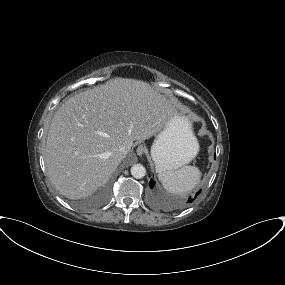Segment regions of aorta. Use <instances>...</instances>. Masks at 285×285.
Here are the masks:
<instances>
[{
    "label": "aorta",
    "instance_id": "aorta-1",
    "mask_svg": "<svg viewBox=\"0 0 285 285\" xmlns=\"http://www.w3.org/2000/svg\"><path fill=\"white\" fill-rule=\"evenodd\" d=\"M131 175L136 179H141L146 175V169L141 164H134L131 167Z\"/></svg>",
    "mask_w": 285,
    "mask_h": 285
}]
</instances>
